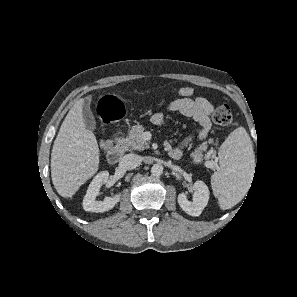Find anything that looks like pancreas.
Returning a JSON list of instances; mask_svg holds the SVG:
<instances>
[{"label": "pancreas", "instance_id": "pancreas-1", "mask_svg": "<svg viewBox=\"0 0 297 297\" xmlns=\"http://www.w3.org/2000/svg\"><path fill=\"white\" fill-rule=\"evenodd\" d=\"M145 128L142 125L133 126L129 131L128 136L121 141L125 150H144L149 148V144L143 139ZM201 155V150L194 153V157L198 159Z\"/></svg>", "mask_w": 297, "mask_h": 297}]
</instances>
